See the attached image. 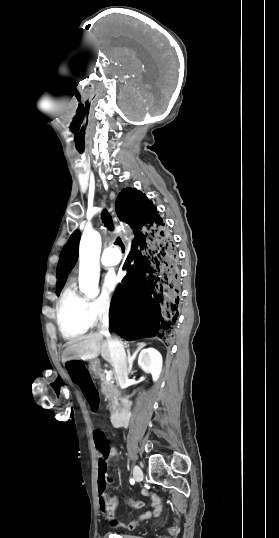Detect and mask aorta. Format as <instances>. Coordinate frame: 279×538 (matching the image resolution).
<instances>
[{
    "instance_id": "762f6f07",
    "label": "aorta",
    "mask_w": 279,
    "mask_h": 538,
    "mask_svg": "<svg viewBox=\"0 0 279 538\" xmlns=\"http://www.w3.org/2000/svg\"><path fill=\"white\" fill-rule=\"evenodd\" d=\"M100 252V234L95 230L85 231L79 245V289L89 298L99 293Z\"/></svg>"
}]
</instances>
